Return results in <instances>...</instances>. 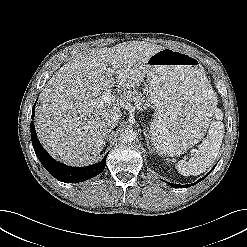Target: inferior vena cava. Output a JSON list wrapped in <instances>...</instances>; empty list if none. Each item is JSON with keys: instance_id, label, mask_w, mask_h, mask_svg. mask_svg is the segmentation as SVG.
I'll use <instances>...</instances> for the list:
<instances>
[{"instance_id": "1", "label": "inferior vena cava", "mask_w": 247, "mask_h": 247, "mask_svg": "<svg viewBox=\"0 0 247 247\" xmlns=\"http://www.w3.org/2000/svg\"><path fill=\"white\" fill-rule=\"evenodd\" d=\"M122 114L117 112H112L105 117L106 126L109 128H113L117 125L119 120L121 119Z\"/></svg>"}]
</instances>
